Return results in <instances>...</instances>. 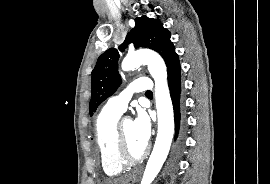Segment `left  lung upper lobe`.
<instances>
[{"label":"left lung upper lobe","instance_id":"5c2ea615","mask_svg":"<svg viewBox=\"0 0 270 184\" xmlns=\"http://www.w3.org/2000/svg\"><path fill=\"white\" fill-rule=\"evenodd\" d=\"M135 28L127 35L125 41L118 47L123 52L129 43L133 42L135 48L146 47L158 52L166 65L175 54V48L170 41V32L163 27L158 19L146 16L135 19ZM119 52L111 48L104 52L97 60L92 71V92L90 100V115L97 107L111 96L121 84L118 74Z\"/></svg>","mask_w":270,"mask_h":184}]
</instances>
